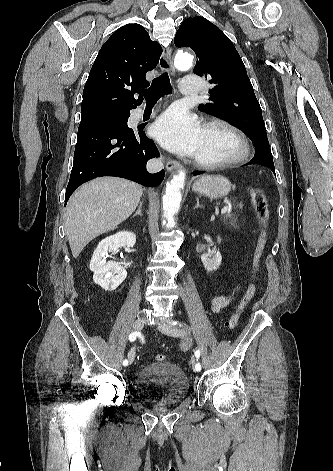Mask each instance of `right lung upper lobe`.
<instances>
[{
	"mask_svg": "<svg viewBox=\"0 0 333 471\" xmlns=\"http://www.w3.org/2000/svg\"><path fill=\"white\" fill-rule=\"evenodd\" d=\"M162 53L144 27L127 24L101 47L83 90L81 121L128 112L138 106L135 93L149 85L145 75L154 69Z\"/></svg>",
	"mask_w": 333,
	"mask_h": 471,
	"instance_id": "obj_1",
	"label": "right lung upper lobe"
}]
</instances>
